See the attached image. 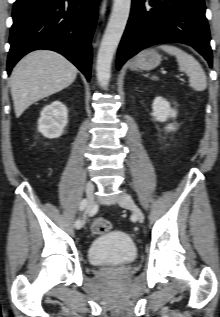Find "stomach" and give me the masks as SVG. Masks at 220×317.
I'll return each instance as SVG.
<instances>
[{"label":"stomach","mask_w":220,"mask_h":317,"mask_svg":"<svg viewBox=\"0 0 220 317\" xmlns=\"http://www.w3.org/2000/svg\"><path fill=\"white\" fill-rule=\"evenodd\" d=\"M161 62V55L154 49H146L140 52L130 64L132 70H152Z\"/></svg>","instance_id":"1"}]
</instances>
